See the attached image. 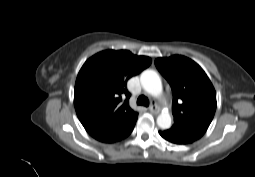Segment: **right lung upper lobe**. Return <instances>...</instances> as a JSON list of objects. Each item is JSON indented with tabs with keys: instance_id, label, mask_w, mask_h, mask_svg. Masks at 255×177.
Instances as JSON below:
<instances>
[{
	"instance_id": "cb5924a9",
	"label": "right lung upper lobe",
	"mask_w": 255,
	"mask_h": 177,
	"mask_svg": "<svg viewBox=\"0 0 255 177\" xmlns=\"http://www.w3.org/2000/svg\"><path fill=\"white\" fill-rule=\"evenodd\" d=\"M151 64L146 56L127 50H106L89 58L80 69L74 106L85 130L95 139L106 136L138 115L129 107L127 81Z\"/></svg>"
}]
</instances>
